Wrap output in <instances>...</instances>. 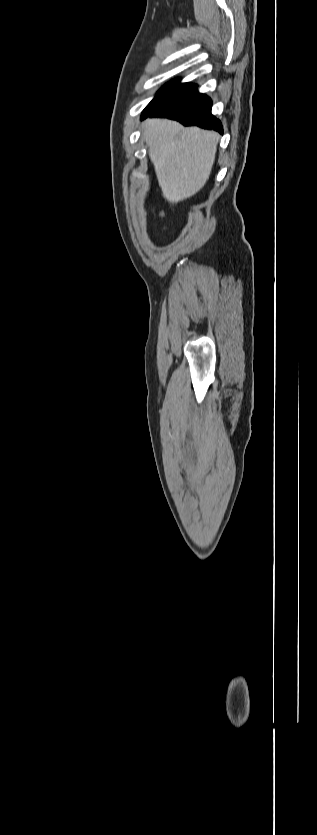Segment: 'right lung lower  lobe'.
<instances>
[{
	"label": "right lung lower lobe",
	"instance_id": "right-lung-lower-lobe-1",
	"mask_svg": "<svg viewBox=\"0 0 317 835\" xmlns=\"http://www.w3.org/2000/svg\"><path fill=\"white\" fill-rule=\"evenodd\" d=\"M212 101L198 91H191L142 116H161L178 120L185 126H199L223 133L221 122L211 114Z\"/></svg>",
	"mask_w": 317,
	"mask_h": 835
}]
</instances>
